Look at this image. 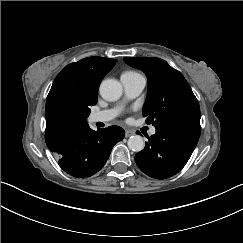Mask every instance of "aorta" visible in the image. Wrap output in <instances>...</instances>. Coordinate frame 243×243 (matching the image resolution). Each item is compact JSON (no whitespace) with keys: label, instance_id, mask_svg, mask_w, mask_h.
<instances>
[{"label":"aorta","instance_id":"aorta-1","mask_svg":"<svg viewBox=\"0 0 243 243\" xmlns=\"http://www.w3.org/2000/svg\"><path fill=\"white\" fill-rule=\"evenodd\" d=\"M100 95L107 101L118 100L123 92V88L120 82L115 79H106L102 81L99 88ZM128 148L134 152L143 150L145 142L139 135L130 136L127 141Z\"/></svg>","mask_w":243,"mask_h":243}]
</instances>
